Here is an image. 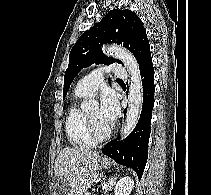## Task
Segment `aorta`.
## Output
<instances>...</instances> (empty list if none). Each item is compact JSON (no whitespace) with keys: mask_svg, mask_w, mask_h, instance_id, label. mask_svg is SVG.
<instances>
[{"mask_svg":"<svg viewBox=\"0 0 211 195\" xmlns=\"http://www.w3.org/2000/svg\"><path fill=\"white\" fill-rule=\"evenodd\" d=\"M103 52L121 60L130 74L129 106L125 123L121 131V138H126L138 123L143 104V85L139 65L135 57L122 47L115 45L104 46ZM97 105V101L88 100L83 102L82 108L90 109Z\"/></svg>","mask_w":211,"mask_h":195,"instance_id":"762f6f07","label":"aorta"}]
</instances>
